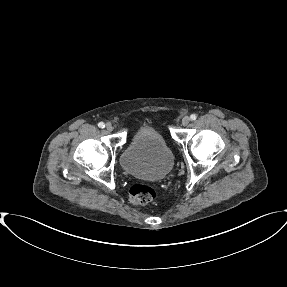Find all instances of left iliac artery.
I'll return each instance as SVG.
<instances>
[{
	"instance_id": "44dca946",
	"label": "left iliac artery",
	"mask_w": 287,
	"mask_h": 287,
	"mask_svg": "<svg viewBox=\"0 0 287 287\" xmlns=\"http://www.w3.org/2000/svg\"><path fill=\"white\" fill-rule=\"evenodd\" d=\"M196 118H197V116H196L195 114H192V115L190 116V119H191V120H196Z\"/></svg>"
}]
</instances>
